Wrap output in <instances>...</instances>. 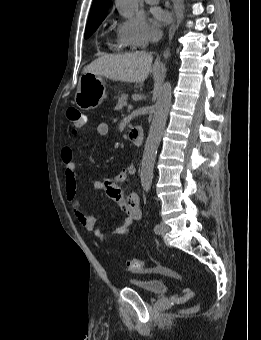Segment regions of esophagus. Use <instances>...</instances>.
I'll return each instance as SVG.
<instances>
[{
    "instance_id": "1",
    "label": "esophagus",
    "mask_w": 261,
    "mask_h": 340,
    "mask_svg": "<svg viewBox=\"0 0 261 340\" xmlns=\"http://www.w3.org/2000/svg\"><path fill=\"white\" fill-rule=\"evenodd\" d=\"M175 32V24L173 22V24L171 25L170 29H169V39H171L174 35Z\"/></svg>"
}]
</instances>
